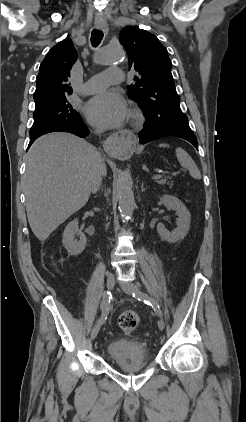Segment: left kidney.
I'll return each instance as SVG.
<instances>
[{"label": "left kidney", "instance_id": "5707ae66", "mask_svg": "<svg viewBox=\"0 0 246 422\" xmlns=\"http://www.w3.org/2000/svg\"><path fill=\"white\" fill-rule=\"evenodd\" d=\"M160 202L168 209L175 210L178 218L177 227L169 232L162 223H158L157 232L162 240L169 243H176L183 239L189 231L191 215L185 205L175 196L164 195L160 198Z\"/></svg>", "mask_w": 246, "mask_h": 422}]
</instances>
